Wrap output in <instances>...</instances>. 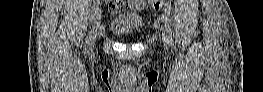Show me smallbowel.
Returning a JSON list of instances; mask_svg holds the SVG:
<instances>
[{
    "label": "small bowel",
    "instance_id": "c3829d8e",
    "mask_svg": "<svg viewBox=\"0 0 263 92\" xmlns=\"http://www.w3.org/2000/svg\"><path fill=\"white\" fill-rule=\"evenodd\" d=\"M122 4V2H120ZM134 7L137 9L143 8L145 1H133Z\"/></svg>",
    "mask_w": 263,
    "mask_h": 92
}]
</instances>
